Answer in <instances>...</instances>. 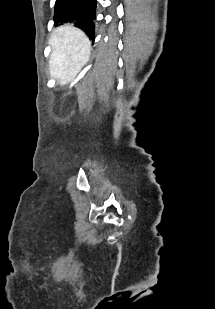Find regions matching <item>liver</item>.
Segmentation results:
<instances>
[{"label": "liver", "instance_id": "liver-1", "mask_svg": "<svg viewBox=\"0 0 215 309\" xmlns=\"http://www.w3.org/2000/svg\"><path fill=\"white\" fill-rule=\"evenodd\" d=\"M50 68L52 76L60 84H69L87 64L91 52V42L83 30L76 26H57L51 38Z\"/></svg>", "mask_w": 215, "mask_h": 309}]
</instances>
